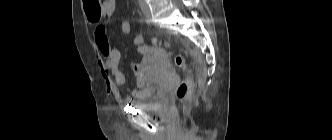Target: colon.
Masks as SVG:
<instances>
[{
	"instance_id": "obj_1",
	"label": "colon",
	"mask_w": 332,
	"mask_h": 140,
	"mask_svg": "<svg viewBox=\"0 0 332 140\" xmlns=\"http://www.w3.org/2000/svg\"><path fill=\"white\" fill-rule=\"evenodd\" d=\"M102 0H83L84 9L87 16L93 20L100 19ZM117 32L120 35H128L131 31V24L128 20H122L118 23ZM157 44V40H153ZM175 64L178 67H184L185 61L182 56L178 55L175 58ZM192 83L189 80H183L177 87L176 95L180 102L184 105H189L192 102Z\"/></svg>"
}]
</instances>
